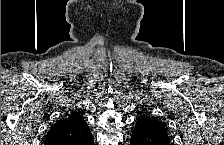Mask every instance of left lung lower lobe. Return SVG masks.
<instances>
[{
	"label": "left lung lower lobe",
	"mask_w": 224,
	"mask_h": 145,
	"mask_svg": "<svg viewBox=\"0 0 224 145\" xmlns=\"http://www.w3.org/2000/svg\"><path fill=\"white\" fill-rule=\"evenodd\" d=\"M131 145H170L169 138L158 129L151 118L142 116L136 122L131 138Z\"/></svg>",
	"instance_id": "0a47b994"
}]
</instances>
